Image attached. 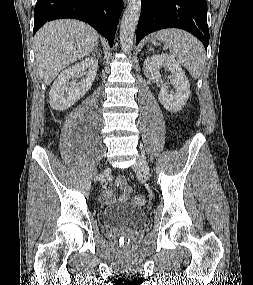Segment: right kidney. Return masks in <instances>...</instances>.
Segmentation results:
<instances>
[{
	"label": "right kidney",
	"mask_w": 253,
	"mask_h": 285,
	"mask_svg": "<svg viewBox=\"0 0 253 285\" xmlns=\"http://www.w3.org/2000/svg\"><path fill=\"white\" fill-rule=\"evenodd\" d=\"M98 68L96 58H85L62 71L49 92L50 106L56 111H64L74 105L91 88ZM84 72L85 77L78 85L75 78Z\"/></svg>",
	"instance_id": "ca27d5eb"
}]
</instances>
